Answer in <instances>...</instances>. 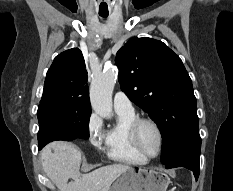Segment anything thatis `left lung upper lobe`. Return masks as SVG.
<instances>
[{
    "label": "left lung upper lobe",
    "instance_id": "left-lung-upper-lobe-1",
    "mask_svg": "<svg viewBox=\"0 0 233 191\" xmlns=\"http://www.w3.org/2000/svg\"><path fill=\"white\" fill-rule=\"evenodd\" d=\"M121 89L155 121L162 163L201 147L196 98L181 59L163 42L132 38L116 54Z\"/></svg>",
    "mask_w": 233,
    "mask_h": 191
}]
</instances>
